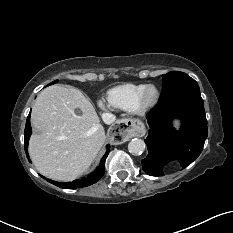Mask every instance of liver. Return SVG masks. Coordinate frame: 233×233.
<instances>
[{
    "instance_id": "liver-1",
    "label": "liver",
    "mask_w": 233,
    "mask_h": 233,
    "mask_svg": "<svg viewBox=\"0 0 233 233\" xmlns=\"http://www.w3.org/2000/svg\"><path fill=\"white\" fill-rule=\"evenodd\" d=\"M29 141L37 171L56 181H72L88 170L105 143L99 117L77 88L53 85L38 95Z\"/></svg>"
}]
</instances>
